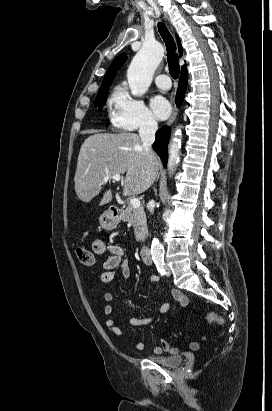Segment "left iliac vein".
Listing matches in <instances>:
<instances>
[{"label":"left iliac vein","instance_id":"4c4485c4","mask_svg":"<svg viewBox=\"0 0 272 411\" xmlns=\"http://www.w3.org/2000/svg\"><path fill=\"white\" fill-rule=\"evenodd\" d=\"M165 273H166L167 276H169L171 274L170 268L167 265H165Z\"/></svg>","mask_w":272,"mask_h":411}]
</instances>
